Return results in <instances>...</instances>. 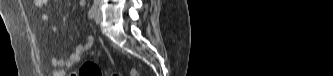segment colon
Instances as JSON below:
<instances>
[{
	"mask_svg": "<svg viewBox=\"0 0 333 76\" xmlns=\"http://www.w3.org/2000/svg\"><path fill=\"white\" fill-rule=\"evenodd\" d=\"M78 72H82V76H103V73L100 70V68L92 60L84 61L81 67L78 69ZM131 76H137V72L135 70H132Z\"/></svg>",
	"mask_w": 333,
	"mask_h": 76,
	"instance_id": "1",
	"label": "colon"
}]
</instances>
